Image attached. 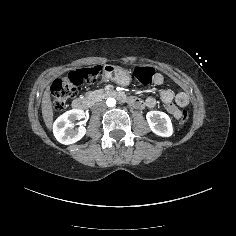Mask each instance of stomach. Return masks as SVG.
Instances as JSON below:
<instances>
[{"label":"stomach","instance_id":"0dacf381","mask_svg":"<svg viewBox=\"0 0 236 236\" xmlns=\"http://www.w3.org/2000/svg\"><path fill=\"white\" fill-rule=\"evenodd\" d=\"M104 76L121 86H128L132 79L130 71L114 65L104 66Z\"/></svg>","mask_w":236,"mask_h":236}]
</instances>
